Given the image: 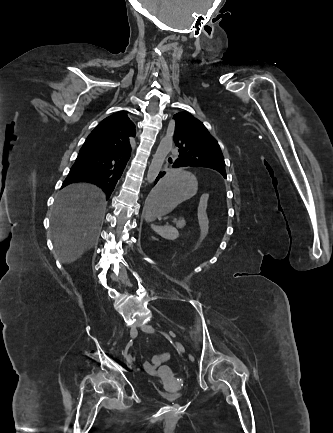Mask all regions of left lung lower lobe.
I'll return each mask as SVG.
<instances>
[{"label": "left lung lower lobe", "instance_id": "obj_1", "mask_svg": "<svg viewBox=\"0 0 333 433\" xmlns=\"http://www.w3.org/2000/svg\"><path fill=\"white\" fill-rule=\"evenodd\" d=\"M168 161H169L170 163H172L171 168H180V167H181V166L179 165V162H178L177 160H175L174 162H172V159H170V160H168ZM165 173H166V172H160V173H159V175L157 176V178H156V180H155V184L157 183V181H158L161 177H163V176L165 175ZM154 206H155V198H153V197L149 198V197H148L147 200H146L145 208H144L146 215H147L148 213H150V212L153 210Z\"/></svg>", "mask_w": 333, "mask_h": 433}]
</instances>
